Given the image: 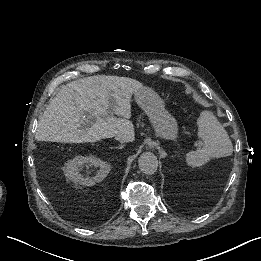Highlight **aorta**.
<instances>
[{"label": "aorta", "instance_id": "aorta-1", "mask_svg": "<svg viewBox=\"0 0 261 261\" xmlns=\"http://www.w3.org/2000/svg\"><path fill=\"white\" fill-rule=\"evenodd\" d=\"M138 165L144 174L152 175L157 171L158 160L153 153L145 152L139 157Z\"/></svg>", "mask_w": 261, "mask_h": 261}]
</instances>
